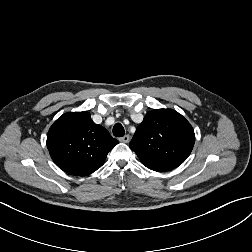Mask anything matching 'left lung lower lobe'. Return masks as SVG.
Listing matches in <instances>:
<instances>
[{"instance_id": "obj_1", "label": "left lung lower lobe", "mask_w": 252, "mask_h": 252, "mask_svg": "<svg viewBox=\"0 0 252 252\" xmlns=\"http://www.w3.org/2000/svg\"><path fill=\"white\" fill-rule=\"evenodd\" d=\"M180 164L181 163H178V162L164 161V162L153 163L146 167H148L151 170L161 172V171H168V170L174 169L178 167Z\"/></svg>"}]
</instances>
